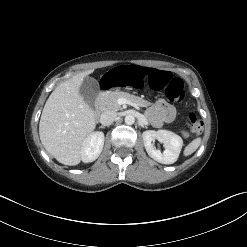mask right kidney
I'll return each instance as SVG.
<instances>
[{"instance_id": "obj_1", "label": "right kidney", "mask_w": 247, "mask_h": 247, "mask_svg": "<svg viewBox=\"0 0 247 247\" xmlns=\"http://www.w3.org/2000/svg\"><path fill=\"white\" fill-rule=\"evenodd\" d=\"M104 146V133L97 131L90 134L81 148L82 161L85 163L95 161L102 152Z\"/></svg>"}]
</instances>
